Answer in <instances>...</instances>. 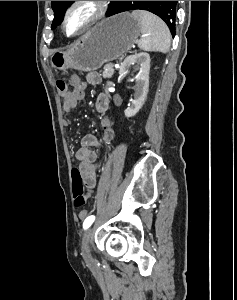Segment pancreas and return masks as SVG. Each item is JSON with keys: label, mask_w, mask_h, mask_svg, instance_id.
<instances>
[{"label": "pancreas", "mask_w": 237, "mask_h": 300, "mask_svg": "<svg viewBox=\"0 0 237 300\" xmlns=\"http://www.w3.org/2000/svg\"><path fill=\"white\" fill-rule=\"evenodd\" d=\"M109 65H105L103 71V77H106V79H110V77L114 75V69H113L114 65L111 64L113 66L111 69L108 67Z\"/></svg>", "instance_id": "obj_1"}]
</instances>
